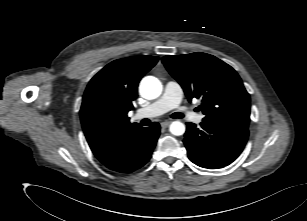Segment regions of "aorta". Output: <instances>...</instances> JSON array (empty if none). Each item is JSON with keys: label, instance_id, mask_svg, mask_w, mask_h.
<instances>
[{"label": "aorta", "instance_id": "1", "mask_svg": "<svg viewBox=\"0 0 307 221\" xmlns=\"http://www.w3.org/2000/svg\"><path fill=\"white\" fill-rule=\"evenodd\" d=\"M139 92L146 99H155L162 92V84L156 77H144L140 83ZM169 130L173 135L180 136L185 133V125L180 121H174L171 123Z\"/></svg>", "mask_w": 307, "mask_h": 221}]
</instances>
